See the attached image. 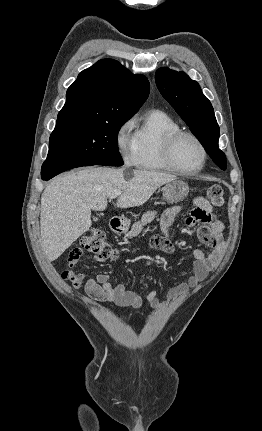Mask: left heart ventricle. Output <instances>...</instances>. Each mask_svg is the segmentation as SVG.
Instances as JSON below:
<instances>
[{
  "mask_svg": "<svg viewBox=\"0 0 262 431\" xmlns=\"http://www.w3.org/2000/svg\"><path fill=\"white\" fill-rule=\"evenodd\" d=\"M175 158L182 168L192 171L201 165L202 152L193 140L182 138L176 145Z\"/></svg>",
  "mask_w": 262,
  "mask_h": 431,
  "instance_id": "obj_1",
  "label": "left heart ventricle"
}]
</instances>
